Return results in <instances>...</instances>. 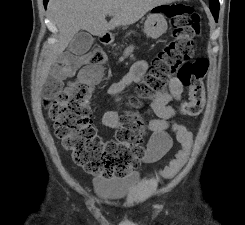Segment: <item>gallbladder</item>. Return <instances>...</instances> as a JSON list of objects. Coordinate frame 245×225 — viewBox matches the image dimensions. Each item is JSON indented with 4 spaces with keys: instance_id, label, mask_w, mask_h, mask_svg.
<instances>
[{
    "instance_id": "1",
    "label": "gallbladder",
    "mask_w": 245,
    "mask_h": 225,
    "mask_svg": "<svg viewBox=\"0 0 245 225\" xmlns=\"http://www.w3.org/2000/svg\"><path fill=\"white\" fill-rule=\"evenodd\" d=\"M93 42L94 38L90 33L80 31L70 41L68 51L78 56L84 55L89 51Z\"/></svg>"
}]
</instances>
